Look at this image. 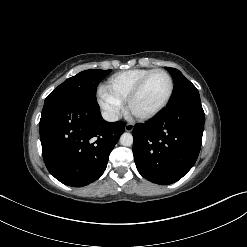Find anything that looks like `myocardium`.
Wrapping results in <instances>:
<instances>
[{
    "instance_id": "1",
    "label": "myocardium",
    "mask_w": 247,
    "mask_h": 247,
    "mask_svg": "<svg viewBox=\"0 0 247 247\" xmlns=\"http://www.w3.org/2000/svg\"><path fill=\"white\" fill-rule=\"evenodd\" d=\"M156 73L164 74L168 78V81H169V90H168V93H167L164 101L157 108H155L154 110H152L150 112H147L144 114L135 113L133 111V108H132L134 101L137 99V97L142 92V90H143L146 82L149 80V78ZM173 92H174V81H173V78L170 75V73L164 69H154V70L150 71L148 74H146L137 83V85L134 87L132 92L129 94V96L126 100L127 110L132 116H134L135 118H137L139 120H149V119L155 117L156 115H158L161 111H163L166 108V106L169 104V102L172 98Z\"/></svg>"
}]
</instances>
